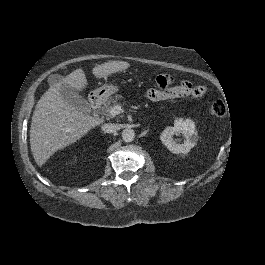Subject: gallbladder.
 I'll return each mask as SVG.
<instances>
[{"mask_svg": "<svg viewBox=\"0 0 265 265\" xmlns=\"http://www.w3.org/2000/svg\"><path fill=\"white\" fill-rule=\"evenodd\" d=\"M64 79L63 76L59 74H51L48 77V83L50 86L62 82ZM60 95L62 99L69 103L70 105L74 106L79 111L90 113L91 112V106L88 103V101L83 98L75 88H73L70 84H63L62 90L60 91Z\"/></svg>", "mask_w": 265, "mask_h": 265, "instance_id": "1", "label": "gallbladder"}]
</instances>
